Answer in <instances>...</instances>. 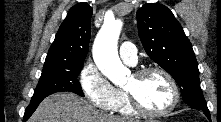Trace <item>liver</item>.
I'll return each mask as SVG.
<instances>
[{"instance_id":"1","label":"liver","mask_w":221,"mask_h":122,"mask_svg":"<svg viewBox=\"0 0 221 122\" xmlns=\"http://www.w3.org/2000/svg\"><path fill=\"white\" fill-rule=\"evenodd\" d=\"M28 122H139L105 114L73 93H56L45 98Z\"/></svg>"}]
</instances>
